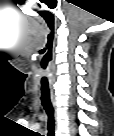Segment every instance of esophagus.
I'll return each mask as SVG.
<instances>
[{
  "mask_svg": "<svg viewBox=\"0 0 114 136\" xmlns=\"http://www.w3.org/2000/svg\"><path fill=\"white\" fill-rule=\"evenodd\" d=\"M50 96H51L52 104L55 107L56 106V99H55V95H54L53 89L50 90Z\"/></svg>",
  "mask_w": 114,
  "mask_h": 136,
  "instance_id": "esophagus-1",
  "label": "esophagus"
}]
</instances>
